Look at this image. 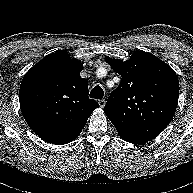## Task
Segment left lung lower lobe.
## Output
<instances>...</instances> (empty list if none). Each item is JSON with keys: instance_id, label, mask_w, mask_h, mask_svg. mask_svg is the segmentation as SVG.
Wrapping results in <instances>:
<instances>
[{"instance_id": "left-lung-lower-lobe-1", "label": "left lung lower lobe", "mask_w": 193, "mask_h": 193, "mask_svg": "<svg viewBox=\"0 0 193 193\" xmlns=\"http://www.w3.org/2000/svg\"><path fill=\"white\" fill-rule=\"evenodd\" d=\"M125 141L133 143V144H143L146 143L148 141H150L151 139H153L152 137H138V136H127V137H123L121 136Z\"/></svg>"}]
</instances>
